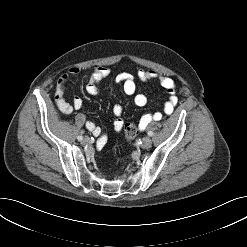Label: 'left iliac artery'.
<instances>
[{
  "label": "left iliac artery",
  "instance_id": "obj_1",
  "mask_svg": "<svg viewBox=\"0 0 247 247\" xmlns=\"http://www.w3.org/2000/svg\"><path fill=\"white\" fill-rule=\"evenodd\" d=\"M148 135H149V136H152V135H153V132H152V131H149V132H148Z\"/></svg>",
  "mask_w": 247,
  "mask_h": 247
}]
</instances>
